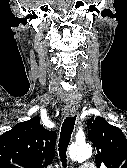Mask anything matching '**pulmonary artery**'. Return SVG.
Masks as SVG:
<instances>
[{"instance_id": "obj_1", "label": "pulmonary artery", "mask_w": 127, "mask_h": 168, "mask_svg": "<svg viewBox=\"0 0 127 168\" xmlns=\"http://www.w3.org/2000/svg\"><path fill=\"white\" fill-rule=\"evenodd\" d=\"M79 168H95L93 164L90 163H83L79 166Z\"/></svg>"}]
</instances>
